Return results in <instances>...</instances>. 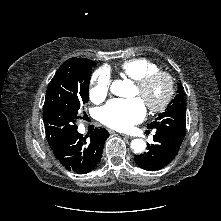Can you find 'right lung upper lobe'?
<instances>
[{"mask_svg": "<svg viewBox=\"0 0 221 221\" xmlns=\"http://www.w3.org/2000/svg\"><path fill=\"white\" fill-rule=\"evenodd\" d=\"M72 59H76V58H71V59H69V60H72Z\"/></svg>", "mask_w": 221, "mask_h": 221, "instance_id": "right-lung-upper-lobe-1", "label": "right lung upper lobe"}]
</instances>
